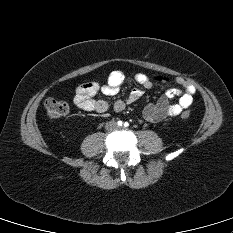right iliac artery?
I'll return each mask as SVG.
<instances>
[{
	"mask_svg": "<svg viewBox=\"0 0 233 233\" xmlns=\"http://www.w3.org/2000/svg\"><path fill=\"white\" fill-rule=\"evenodd\" d=\"M117 124H118L119 126H122L123 122H122L121 120H119V121L117 122Z\"/></svg>",
	"mask_w": 233,
	"mask_h": 233,
	"instance_id": "right-iliac-artery-1",
	"label": "right iliac artery"
}]
</instances>
